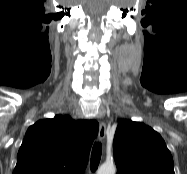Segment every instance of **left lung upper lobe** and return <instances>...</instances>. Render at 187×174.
<instances>
[{"instance_id": "1", "label": "left lung upper lobe", "mask_w": 187, "mask_h": 174, "mask_svg": "<svg viewBox=\"0 0 187 174\" xmlns=\"http://www.w3.org/2000/svg\"><path fill=\"white\" fill-rule=\"evenodd\" d=\"M113 152L117 174H175L164 140L143 123L119 121Z\"/></svg>"}]
</instances>
